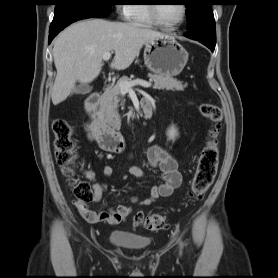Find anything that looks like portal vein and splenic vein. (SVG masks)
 Listing matches in <instances>:
<instances>
[{
	"instance_id": "obj_1",
	"label": "portal vein and splenic vein",
	"mask_w": 278,
	"mask_h": 278,
	"mask_svg": "<svg viewBox=\"0 0 278 278\" xmlns=\"http://www.w3.org/2000/svg\"><path fill=\"white\" fill-rule=\"evenodd\" d=\"M103 60L108 61L111 58V53L110 52H105L102 56ZM142 86L144 88H149L151 86V82H146V81H131V82H120L119 83V88L121 92H128L132 90L134 86Z\"/></svg>"
}]
</instances>
